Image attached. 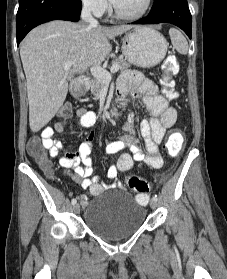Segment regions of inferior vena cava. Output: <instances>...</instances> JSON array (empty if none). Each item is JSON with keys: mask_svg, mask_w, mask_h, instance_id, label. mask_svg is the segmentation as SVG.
Returning a JSON list of instances; mask_svg holds the SVG:
<instances>
[{"mask_svg": "<svg viewBox=\"0 0 227 279\" xmlns=\"http://www.w3.org/2000/svg\"><path fill=\"white\" fill-rule=\"evenodd\" d=\"M81 18L85 22L89 23L91 27L98 26V21L92 16L91 14V5L90 4H84L82 12H81Z\"/></svg>", "mask_w": 227, "mask_h": 279, "instance_id": "inferior-vena-cava-1", "label": "inferior vena cava"}]
</instances>
